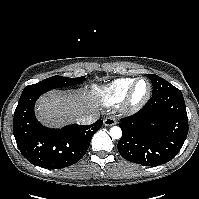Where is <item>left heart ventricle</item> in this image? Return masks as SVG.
<instances>
[{"label":"left heart ventricle","mask_w":199,"mask_h":199,"mask_svg":"<svg viewBox=\"0 0 199 199\" xmlns=\"http://www.w3.org/2000/svg\"><path fill=\"white\" fill-rule=\"evenodd\" d=\"M147 90L148 84L145 81H140L136 86L133 99L135 101L140 100L147 93Z\"/></svg>","instance_id":"left-heart-ventricle-1"}]
</instances>
